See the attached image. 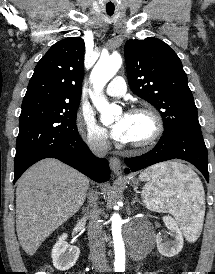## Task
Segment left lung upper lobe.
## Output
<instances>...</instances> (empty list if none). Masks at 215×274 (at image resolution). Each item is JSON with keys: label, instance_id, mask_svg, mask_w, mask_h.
<instances>
[{"label": "left lung upper lobe", "instance_id": "left-lung-upper-lobe-1", "mask_svg": "<svg viewBox=\"0 0 215 274\" xmlns=\"http://www.w3.org/2000/svg\"><path fill=\"white\" fill-rule=\"evenodd\" d=\"M125 58L130 88L160 112L164 134L202 135L187 75L177 54L160 39L148 37L128 40Z\"/></svg>", "mask_w": 215, "mask_h": 274}]
</instances>
